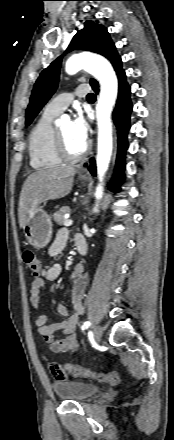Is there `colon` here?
I'll return each mask as SVG.
<instances>
[{"label": "colon", "instance_id": "5ec220e1", "mask_svg": "<svg viewBox=\"0 0 174 440\" xmlns=\"http://www.w3.org/2000/svg\"><path fill=\"white\" fill-rule=\"evenodd\" d=\"M24 262L28 268V270L31 272V274L35 277L40 276L42 268L39 263V261L36 259L34 253L31 250H25L23 254ZM63 368L76 375V376H91L95 377L98 380L102 382H107L110 384H117L119 382V376L117 372H108V373H100V372H93L89 369L82 368L79 366H75L72 364H65Z\"/></svg>", "mask_w": 174, "mask_h": 440}]
</instances>
